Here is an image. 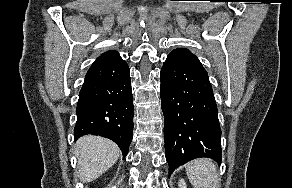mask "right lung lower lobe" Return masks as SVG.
<instances>
[{"instance_id":"obj_1","label":"right lung lower lobe","mask_w":292,"mask_h":188,"mask_svg":"<svg viewBox=\"0 0 292 188\" xmlns=\"http://www.w3.org/2000/svg\"><path fill=\"white\" fill-rule=\"evenodd\" d=\"M130 70L118 53L100 56L89 68L77 103L74 137L87 134L111 139L123 157L133 138Z\"/></svg>"}]
</instances>
